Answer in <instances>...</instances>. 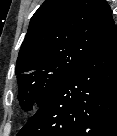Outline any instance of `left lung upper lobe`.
Segmentation results:
<instances>
[{"label": "left lung upper lobe", "mask_w": 117, "mask_h": 136, "mask_svg": "<svg viewBox=\"0 0 117 136\" xmlns=\"http://www.w3.org/2000/svg\"><path fill=\"white\" fill-rule=\"evenodd\" d=\"M105 0H46L31 18L15 74L21 107L40 106L113 30Z\"/></svg>", "instance_id": "left-lung-upper-lobe-1"}]
</instances>
